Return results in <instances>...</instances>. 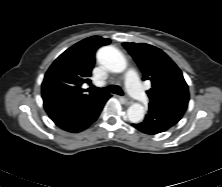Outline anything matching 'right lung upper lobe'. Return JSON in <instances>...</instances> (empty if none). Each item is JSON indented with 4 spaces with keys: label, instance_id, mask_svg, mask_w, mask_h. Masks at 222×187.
<instances>
[{
    "label": "right lung upper lobe",
    "instance_id": "1",
    "mask_svg": "<svg viewBox=\"0 0 222 187\" xmlns=\"http://www.w3.org/2000/svg\"><path fill=\"white\" fill-rule=\"evenodd\" d=\"M110 43L100 36L88 37L63 52L50 66L42 83V94L56 93L77 102L99 99L104 94L82 88L84 83H91L89 77L95 64L96 50Z\"/></svg>",
    "mask_w": 222,
    "mask_h": 187
}]
</instances>
